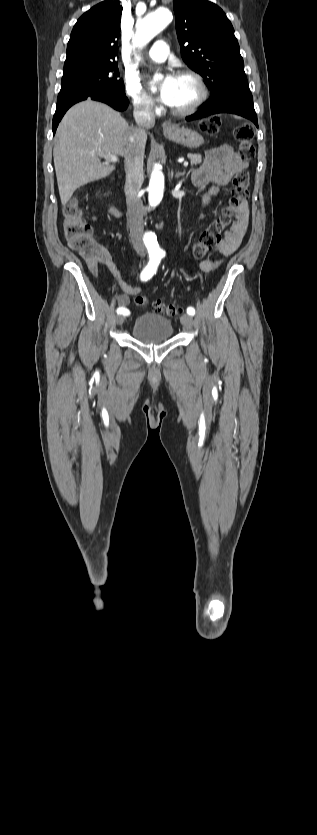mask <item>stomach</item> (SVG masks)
<instances>
[{
    "label": "stomach",
    "mask_w": 317,
    "mask_h": 835,
    "mask_svg": "<svg viewBox=\"0 0 317 835\" xmlns=\"http://www.w3.org/2000/svg\"><path fill=\"white\" fill-rule=\"evenodd\" d=\"M169 140L189 148H198L204 143L203 137L190 128L175 126L171 132H164Z\"/></svg>",
    "instance_id": "0dacf381"
}]
</instances>
